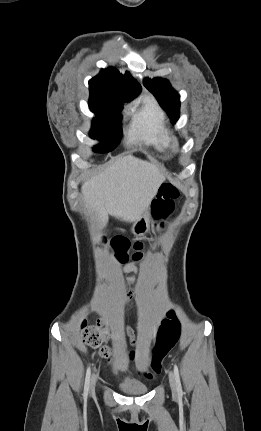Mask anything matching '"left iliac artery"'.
<instances>
[{
	"label": "left iliac artery",
	"mask_w": 261,
	"mask_h": 431,
	"mask_svg": "<svg viewBox=\"0 0 261 431\" xmlns=\"http://www.w3.org/2000/svg\"><path fill=\"white\" fill-rule=\"evenodd\" d=\"M174 376H175V381H176L177 392L181 395L182 394V386H181L180 377H179V370H178V367L176 364H174Z\"/></svg>",
	"instance_id": "44dca946"
}]
</instances>
